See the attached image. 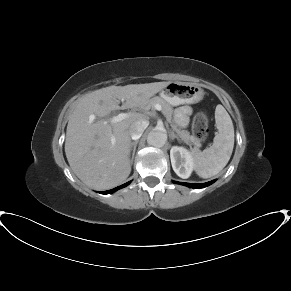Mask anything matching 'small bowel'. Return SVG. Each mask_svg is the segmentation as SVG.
<instances>
[{
    "label": "small bowel",
    "mask_w": 291,
    "mask_h": 291,
    "mask_svg": "<svg viewBox=\"0 0 291 291\" xmlns=\"http://www.w3.org/2000/svg\"><path fill=\"white\" fill-rule=\"evenodd\" d=\"M189 113V108L182 107L176 113V119L180 125H184L187 121V115Z\"/></svg>",
    "instance_id": "obj_1"
}]
</instances>
